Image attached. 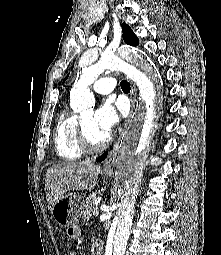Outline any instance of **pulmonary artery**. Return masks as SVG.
<instances>
[{
  "label": "pulmonary artery",
  "instance_id": "obj_1",
  "mask_svg": "<svg viewBox=\"0 0 221 255\" xmlns=\"http://www.w3.org/2000/svg\"><path fill=\"white\" fill-rule=\"evenodd\" d=\"M115 87H116L115 80L110 76L101 77L95 82H93L91 85V88L95 92L102 95L111 93L115 89Z\"/></svg>",
  "mask_w": 221,
  "mask_h": 255
}]
</instances>
